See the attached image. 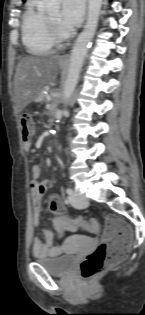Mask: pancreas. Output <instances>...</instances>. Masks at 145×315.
Instances as JSON below:
<instances>
[{
	"label": "pancreas",
	"instance_id": "obj_1",
	"mask_svg": "<svg viewBox=\"0 0 145 315\" xmlns=\"http://www.w3.org/2000/svg\"><path fill=\"white\" fill-rule=\"evenodd\" d=\"M39 99H40L41 101H46V100H47V96L41 94L40 97H39Z\"/></svg>",
	"mask_w": 145,
	"mask_h": 315
}]
</instances>
